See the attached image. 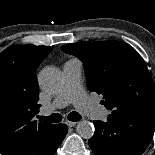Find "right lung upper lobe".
I'll list each match as a JSON object with an SVG mask.
<instances>
[{
  "mask_svg": "<svg viewBox=\"0 0 155 155\" xmlns=\"http://www.w3.org/2000/svg\"><path fill=\"white\" fill-rule=\"evenodd\" d=\"M54 46L12 45L0 53V152L45 155L56 125L33 120L39 112L36 69Z\"/></svg>",
  "mask_w": 155,
  "mask_h": 155,
  "instance_id": "1",
  "label": "right lung upper lobe"
}]
</instances>
